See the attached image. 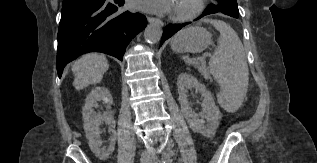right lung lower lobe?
I'll return each instance as SVG.
<instances>
[{"instance_id": "1", "label": "right lung lower lobe", "mask_w": 317, "mask_h": 163, "mask_svg": "<svg viewBox=\"0 0 317 163\" xmlns=\"http://www.w3.org/2000/svg\"><path fill=\"white\" fill-rule=\"evenodd\" d=\"M124 0H90L62 9L58 30L57 72L78 56L103 52L122 60L131 39L142 31L146 17L120 8Z\"/></svg>"}]
</instances>
